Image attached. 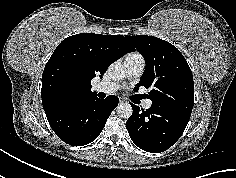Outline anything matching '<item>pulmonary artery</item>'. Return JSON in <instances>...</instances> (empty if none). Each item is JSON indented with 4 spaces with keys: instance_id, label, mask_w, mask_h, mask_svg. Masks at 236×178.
<instances>
[{
    "instance_id": "pulmonary-artery-1",
    "label": "pulmonary artery",
    "mask_w": 236,
    "mask_h": 178,
    "mask_svg": "<svg viewBox=\"0 0 236 178\" xmlns=\"http://www.w3.org/2000/svg\"><path fill=\"white\" fill-rule=\"evenodd\" d=\"M124 66L128 79L137 78L142 75L145 69V61L140 55H128L125 58ZM119 89V84L115 82H102L94 86L96 92L112 94ZM152 106L151 100H145L143 107L149 109Z\"/></svg>"
}]
</instances>
